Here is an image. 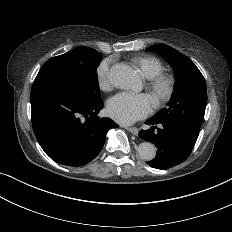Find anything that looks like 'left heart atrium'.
<instances>
[{"label": "left heart atrium", "instance_id": "1", "mask_svg": "<svg viewBox=\"0 0 232 232\" xmlns=\"http://www.w3.org/2000/svg\"><path fill=\"white\" fill-rule=\"evenodd\" d=\"M152 110L151 98L148 95L120 93L107 103V113L116 121L129 125L147 116Z\"/></svg>", "mask_w": 232, "mask_h": 232}]
</instances>
